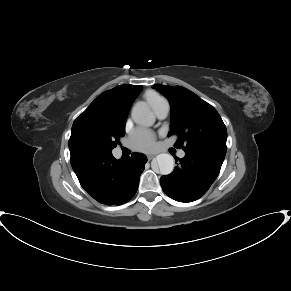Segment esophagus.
I'll use <instances>...</instances> for the list:
<instances>
[{
  "instance_id": "esophagus-1",
  "label": "esophagus",
  "mask_w": 291,
  "mask_h": 291,
  "mask_svg": "<svg viewBox=\"0 0 291 291\" xmlns=\"http://www.w3.org/2000/svg\"><path fill=\"white\" fill-rule=\"evenodd\" d=\"M155 156H156V154H148V155H147V158H148V160H151V159H153Z\"/></svg>"
}]
</instances>
